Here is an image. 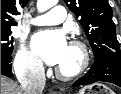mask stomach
<instances>
[{
  "mask_svg": "<svg viewBox=\"0 0 121 94\" xmlns=\"http://www.w3.org/2000/svg\"><path fill=\"white\" fill-rule=\"evenodd\" d=\"M78 94H114V92L104 84L96 83L81 89Z\"/></svg>",
  "mask_w": 121,
  "mask_h": 94,
  "instance_id": "1",
  "label": "stomach"
}]
</instances>
